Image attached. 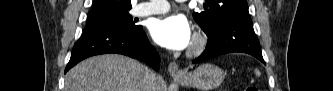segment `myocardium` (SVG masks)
<instances>
[{"instance_id": "f54148a6", "label": "myocardium", "mask_w": 333, "mask_h": 91, "mask_svg": "<svg viewBox=\"0 0 333 91\" xmlns=\"http://www.w3.org/2000/svg\"><path fill=\"white\" fill-rule=\"evenodd\" d=\"M207 46V38L201 32H197L191 42L187 55L189 57H196L203 53Z\"/></svg>"}]
</instances>
